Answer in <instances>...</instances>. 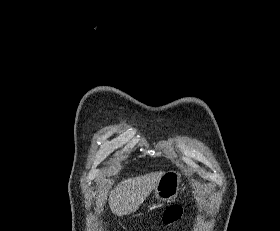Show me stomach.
<instances>
[{"mask_svg":"<svg viewBox=\"0 0 280 231\" xmlns=\"http://www.w3.org/2000/svg\"><path fill=\"white\" fill-rule=\"evenodd\" d=\"M181 181L182 173L180 171H166L154 187L155 197L161 201H175L181 189Z\"/></svg>","mask_w":280,"mask_h":231,"instance_id":"obj_1","label":"stomach"}]
</instances>
